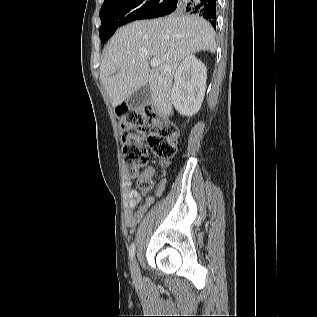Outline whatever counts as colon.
Returning <instances> with one entry per match:
<instances>
[{
  "label": "colon",
  "instance_id": "1",
  "mask_svg": "<svg viewBox=\"0 0 317 317\" xmlns=\"http://www.w3.org/2000/svg\"><path fill=\"white\" fill-rule=\"evenodd\" d=\"M123 144V163L131 177H137L148 163V151L166 164L176 153L180 137L175 124L158 115L150 105L116 109ZM138 187L149 191L153 184L140 178Z\"/></svg>",
  "mask_w": 317,
  "mask_h": 317
}]
</instances>
